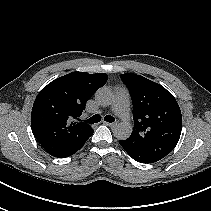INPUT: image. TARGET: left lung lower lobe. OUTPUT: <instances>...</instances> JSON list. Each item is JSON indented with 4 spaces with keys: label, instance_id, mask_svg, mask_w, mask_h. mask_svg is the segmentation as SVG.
Instances as JSON below:
<instances>
[{
    "label": "left lung lower lobe",
    "instance_id": "1",
    "mask_svg": "<svg viewBox=\"0 0 211 211\" xmlns=\"http://www.w3.org/2000/svg\"><path fill=\"white\" fill-rule=\"evenodd\" d=\"M119 143L124 148V150L137 162L154 163L160 160V158L148 152H145L137 148H133L125 140H119Z\"/></svg>",
    "mask_w": 211,
    "mask_h": 211
}]
</instances>
